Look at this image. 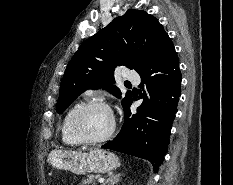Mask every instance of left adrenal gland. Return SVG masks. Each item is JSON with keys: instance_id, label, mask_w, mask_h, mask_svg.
I'll list each match as a JSON object with an SVG mask.
<instances>
[{"instance_id": "1", "label": "left adrenal gland", "mask_w": 233, "mask_h": 185, "mask_svg": "<svg viewBox=\"0 0 233 185\" xmlns=\"http://www.w3.org/2000/svg\"><path fill=\"white\" fill-rule=\"evenodd\" d=\"M120 176H121L120 173L111 175L103 185H106V184L107 185H114V184H116L117 182H119Z\"/></svg>"}]
</instances>
